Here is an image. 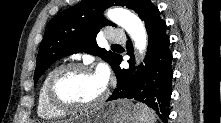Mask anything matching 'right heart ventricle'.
Instances as JSON below:
<instances>
[{
	"mask_svg": "<svg viewBox=\"0 0 221 123\" xmlns=\"http://www.w3.org/2000/svg\"><path fill=\"white\" fill-rule=\"evenodd\" d=\"M52 71H50L44 78L38 93L37 113L41 118L47 120L60 119L65 117L67 114V112L54 107L48 100L46 88Z\"/></svg>",
	"mask_w": 221,
	"mask_h": 123,
	"instance_id": "e07e8e85",
	"label": "right heart ventricle"
}]
</instances>
